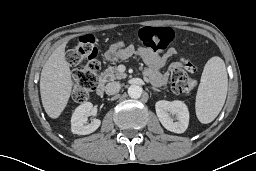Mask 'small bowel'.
<instances>
[{
	"instance_id": "c3829d8e",
	"label": "small bowel",
	"mask_w": 256,
	"mask_h": 171,
	"mask_svg": "<svg viewBox=\"0 0 256 171\" xmlns=\"http://www.w3.org/2000/svg\"><path fill=\"white\" fill-rule=\"evenodd\" d=\"M137 53L148 65V75L156 86H162L167 81L166 74L160 69L165 65L166 61L176 55L177 51L173 48L169 49L164 55H157L148 49H135L132 45H126L122 49L115 51L111 50L106 53L108 60L126 59L132 54Z\"/></svg>"
}]
</instances>
